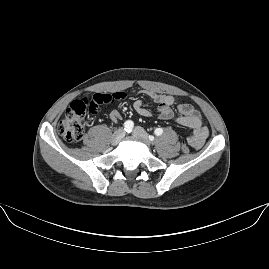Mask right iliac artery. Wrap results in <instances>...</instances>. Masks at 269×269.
Listing matches in <instances>:
<instances>
[{
  "mask_svg": "<svg viewBox=\"0 0 269 269\" xmlns=\"http://www.w3.org/2000/svg\"><path fill=\"white\" fill-rule=\"evenodd\" d=\"M134 123L131 120H128L124 123V130L130 133L133 129Z\"/></svg>",
  "mask_w": 269,
  "mask_h": 269,
  "instance_id": "right-iliac-artery-1",
  "label": "right iliac artery"
}]
</instances>
